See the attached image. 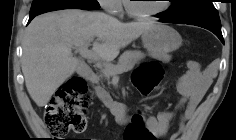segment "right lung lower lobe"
I'll list each match as a JSON object with an SVG mask.
<instances>
[{"label":"right lung lower lobe","instance_id":"obj_1","mask_svg":"<svg viewBox=\"0 0 236 140\" xmlns=\"http://www.w3.org/2000/svg\"><path fill=\"white\" fill-rule=\"evenodd\" d=\"M35 16H37V15H30V16H29V21H28V23H29Z\"/></svg>","mask_w":236,"mask_h":140}]
</instances>
